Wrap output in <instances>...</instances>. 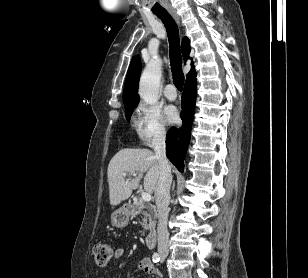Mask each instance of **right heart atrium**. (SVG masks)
Segmentation results:
<instances>
[{
    "label": "right heart atrium",
    "mask_w": 308,
    "mask_h": 278,
    "mask_svg": "<svg viewBox=\"0 0 308 278\" xmlns=\"http://www.w3.org/2000/svg\"><path fill=\"white\" fill-rule=\"evenodd\" d=\"M134 128L139 141L150 144L166 135V121L161 112L152 106L139 104L136 108Z\"/></svg>",
    "instance_id": "1"
}]
</instances>
